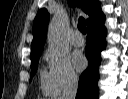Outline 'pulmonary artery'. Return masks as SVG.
Wrapping results in <instances>:
<instances>
[{
    "label": "pulmonary artery",
    "mask_w": 128,
    "mask_h": 99,
    "mask_svg": "<svg viewBox=\"0 0 128 99\" xmlns=\"http://www.w3.org/2000/svg\"><path fill=\"white\" fill-rule=\"evenodd\" d=\"M84 42L85 40H84V37L81 35V33L75 31L72 35V43L75 46H82Z\"/></svg>",
    "instance_id": "obj_1"
}]
</instances>
